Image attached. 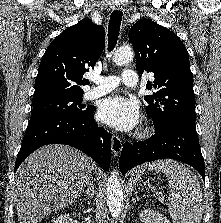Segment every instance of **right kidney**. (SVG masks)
<instances>
[{
	"mask_svg": "<svg viewBox=\"0 0 221 223\" xmlns=\"http://www.w3.org/2000/svg\"><path fill=\"white\" fill-rule=\"evenodd\" d=\"M74 216V214H73ZM76 216V214H75ZM70 215L69 214H63L60 217H58L53 223H69Z\"/></svg>",
	"mask_w": 221,
	"mask_h": 223,
	"instance_id": "ca27d5eb",
	"label": "right kidney"
}]
</instances>
